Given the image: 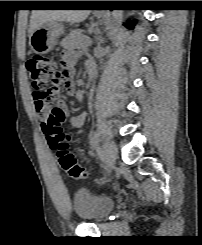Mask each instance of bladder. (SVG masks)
I'll list each match as a JSON object with an SVG mask.
<instances>
[{"mask_svg":"<svg viewBox=\"0 0 202 245\" xmlns=\"http://www.w3.org/2000/svg\"><path fill=\"white\" fill-rule=\"evenodd\" d=\"M75 211L79 218L91 223H99L107 218L115 208L113 199L99 195L89 189L76 192L73 200Z\"/></svg>","mask_w":202,"mask_h":245,"instance_id":"1","label":"bladder"}]
</instances>
